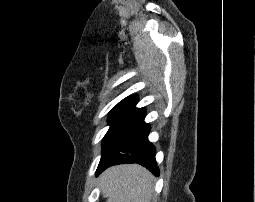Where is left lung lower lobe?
Returning a JSON list of instances; mask_svg holds the SVG:
<instances>
[{"label": "left lung lower lobe", "instance_id": "left-lung-lower-lobe-1", "mask_svg": "<svg viewBox=\"0 0 255 202\" xmlns=\"http://www.w3.org/2000/svg\"><path fill=\"white\" fill-rule=\"evenodd\" d=\"M150 127L144 123L125 143L121 151L109 161H100L96 173L99 174L106 168L124 163H138L146 167L155 176L159 169L155 160V148L148 140Z\"/></svg>", "mask_w": 255, "mask_h": 202}]
</instances>
